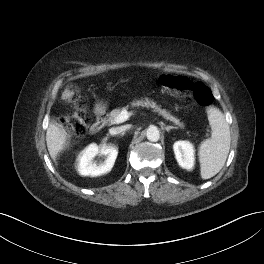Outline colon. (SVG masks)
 Instances as JSON below:
<instances>
[{
    "label": "colon",
    "instance_id": "colon-1",
    "mask_svg": "<svg viewBox=\"0 0 264 264\" xmlns=\"http://www.w3.org/2000/svg\"><path fill=\"white\" fill-rule=\"evenodd\" d=\"M161 86L173 92L177 96L194 100L201 106H209L213 101L211 90L203 83L193 82L183 76L164 75L159 79ZM63 100L71 103L75 112L63 119L65 129L73 135H82L89 123L90 119L85 112V103L79 90L75 86H69L63 93Z\"/></svg>",
    "mask_w": 264,
    "mask_h": 264
}]
</instances>
